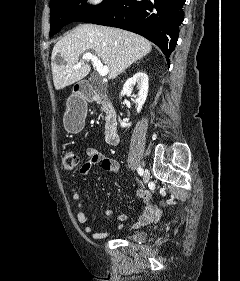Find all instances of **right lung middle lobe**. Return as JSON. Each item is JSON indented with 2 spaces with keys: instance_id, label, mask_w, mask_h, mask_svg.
Instances as JSON below:
<instances>
[{
  "instance_id": "obj_1",
  "label": "right lung middle lobe",
  "mask_w": 240,
  "mask_h": 281,
  "mask_svg": "<svg viewBox=\"0 0 240 281\" xmlns=\"http://www.w3.org/2000/svg\"><path fill=\"white\" fill-rule=\"evenodd\" d=\"M118 0H104L96 6L88 5L85 0L50 1V36L63 26L74 21L93 22L110 11Z\"/></svg>"
}]
</instances>
